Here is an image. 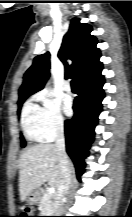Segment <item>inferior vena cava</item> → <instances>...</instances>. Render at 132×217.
<instances>
[{"label":"inferior vena cava","mask_w":132,"mask_h":217,"mask_svg":"<svg viewBox=\"0 0 132 217\" xmlns=\"http://www.w3.org/2000/svg\"><path fill=\"white\" fill-rule=\"evenodd\" d=\"M55 146L57 149L59 168L62 175V181L58 186L56 201H55V214L61 216L64 212V201L65 196L68 193L69 186L72 182L73 175V165L70 162L66 151H65V138H64V128L61 124L57 131Z\"/></svg>","instance_id":"obj_1"}]
</instances>
